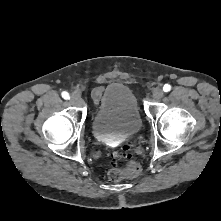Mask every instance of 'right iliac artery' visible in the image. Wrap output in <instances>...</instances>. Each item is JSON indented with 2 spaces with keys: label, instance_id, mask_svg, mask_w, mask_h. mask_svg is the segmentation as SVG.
I'll list each match as a JSON object with an SVG mask.
<instances>
[{
  "label": "right iliac artery",
  "instance_id": "obj_1",
  "mask_svg": "<svg viewBox=\"0 0 221 221\" xmlns=\"http://www.w3.org/2000/svg\"><path fill=\"white\" fill-rule=\"evenodd\" d=\"M61 95H62V97H63L64 99H69V98H70L69 93L66 92V91L62 92Z\"/></svg>",
  "mask_w": 221,
  "mask_h": 221
}]
</instances>
